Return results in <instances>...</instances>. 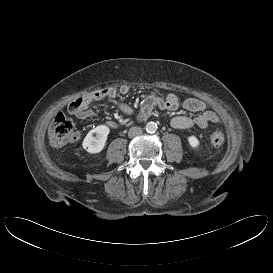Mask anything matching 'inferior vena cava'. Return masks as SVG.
<instances>
[{
	"mask_svg": "<svg viewBox=\"0 0 273 273\" xmlns=\"http://www.w3.org/2000/svg\"><path fill=\"white\" fill-rule=\"evenodd\" d=\"M142 132H143L142 128H140V127H137V126L131 127L129 129L128 136L130 138H134V137L140 136L142 134Z\"/></svg>",
	"mask_w": 273,
	"mask_h": 273,
	"instance_id": "obj_1",
	"label": "inferior vena cava"
}]
</instances>
